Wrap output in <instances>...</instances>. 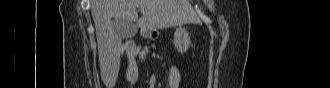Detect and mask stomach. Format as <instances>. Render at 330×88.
Returning a JSON list of instances; mask_svg holds the SVG:
<instances>
[{
	"instance_id": "stomach-1",
	"label": "stomach",
	"mask_w": 330,
	"mask_h": 88,
	"mask_svg": "<svg viewBox=\"0 0 330 88\" xmlns=\"http://www.w3.org/2000/svg\"><path fill=\"white\" fill-rule=\"evenodd\" d=\"M153 34L150 31L146 37L152 38ZM191 43V34L184 28H178L174 33V44L177 50L181 53H185Z\"/></svg>"
}]
</instances>
